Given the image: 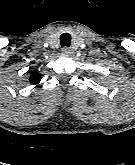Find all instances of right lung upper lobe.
<instances>
[{"label":"right lung upper lobe","instance_id":"obj_1","mask_svg":"<svg viewBox=\"0 0 135 165\" xmlns=\"http://www.w3.org/2000/svg\"><path fill=\"white\" fill-rule=\"evenodd\" d=\"M40 81H41V77L38 72H34L29 78V82L31 84H38Z\"/></svg>","mask_w":135,"mask_h":165}]
</instances>
